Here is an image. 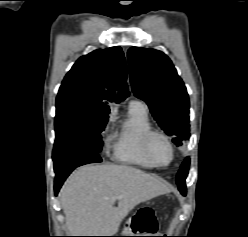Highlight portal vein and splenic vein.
Masks as SVG:
<instances>
[{"label": "portal vein and splenic vein", "instance_id": "obj_1", "mask_svg": "<svg viewBox=\"0 0 248 237\" xmlns=\"http://www.w3.org/2000/svg\"><path fill=\"white\" fill-rule=\"evenodd\" d=\"M117 199H118V197L113 196V197L111 198V201H112V202H115Z\"/></svg>", "mask_w": 248, "mask_h": 237}]
</instances>
